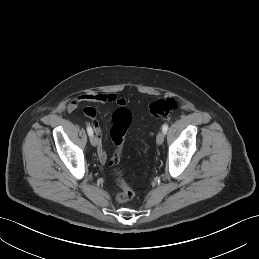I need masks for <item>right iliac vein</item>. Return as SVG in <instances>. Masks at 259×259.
I'll list each match as a JSON object with an SVG mask.
<instances>
[{
    "instance_id": "right-iliac-vein-1",
    "label": "right iliac vein",
    "mask_w": 259,
    "mask_h": 259,
    "mask_svg": "<svg viewBox=\"0 0 259 259\" xmlns=\"http://www.w3.org/2000/svg\"><path fill=\"white\" fill-rule=\"evenodd\" d=\"M90 143L94 147H96L98 145V140H97L96 136H93V135L90 136Z\"/></svg>"
}]
</instances>
